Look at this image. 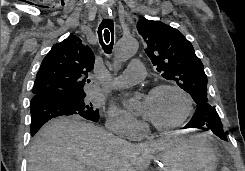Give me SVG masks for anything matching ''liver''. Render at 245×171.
<instances>
[{"label": "liver", "mask_w": 245, "mask_h": 171, "mask_svg": "<svg viewBox=\"0 0 245 171\" xmlns=\"http://www.w3.org/2000/svg\"><path fill=\"white\" fill-rule=\"evenodd\" d=\"M179 137L169 133L158 140L132 144L82 121L60 117L36 134L28 157V171H145L153 155Z\"/></svg>", "instance_id": "6515ba94"}]
</instances>
